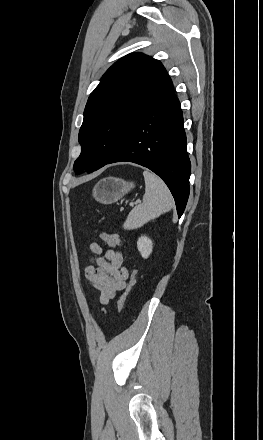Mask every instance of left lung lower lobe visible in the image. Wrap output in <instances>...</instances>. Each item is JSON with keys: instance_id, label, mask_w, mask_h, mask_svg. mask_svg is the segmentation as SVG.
Listing matches in <instances>:
<instances>
[{"instance_id": "left-lung-lower-lobe-1", "label": "left lung lower lobe", "mask_w": 263, "mask_h": 440, "mask_svg": "<svg viewBox=\"0 0 263 440\" xmlns=\"http://www.w3.org/2000/svg\"><path fill=\"white\" fill-rule=\"evenodd\" d=\"M121 161L137 163L161 177L181 217L189 197L191 164L182 110L170 77L138 112L119 150L106 164Z\"/></svg>"}]
</instances>
